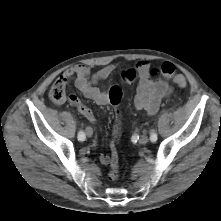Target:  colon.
Segmentation results:
<instances>
[{
	"mask_svg": "<svg viewBox=\"0 0 221 221\" xmlns=\"http://www.w3.org/2000/svg\"><path fill=\"white\" fill-rule=\"evenodd\" d=\"M151 76L161 75L167 79H170L178 87L185 88L187 85L186 78L182 74H178L175 71L174 65L171 63H163L160 67L154 68L150 71ZM49 98L52 102L60 104L65 101H70L73 104H77L80 100L75 95H68L66 91V85L57 79L49 90ZM109 95L112 104L116 105L122 98V89L119 86H112L109 90ZM118 117V114H116ZM115 138L110 143V170L108 173V179L110 181H116L119 178V158L116 151L117 136L119 135V127L114 128Z\"/></svg>",
	"mask_w": 221,
	"mask_h": 221,
	"instance_id": "colon-1",
	"label": "colon"
}]
</instances>
